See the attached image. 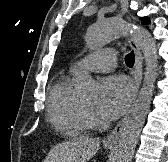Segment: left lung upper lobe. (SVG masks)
<instances>
[{
	"instance_id": "left-lung-upper-lobe-1",
	"label": "left lung upper lobe",
	"mask_w": 168,
	"mask_h": 162,
	"mask_svg": "<svg viewBox=\"0 0 168 162\" xmlns=\"http://www.w3.org/2000/svg\"><path fill=\"white\" fill-rule=\"evenodd\" d=\"M141 22H142L143 24H149V23H150V20H149L148 17H143V18H141Z\"/></svg>"
}]
</instances>
